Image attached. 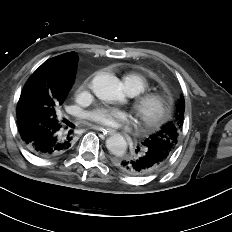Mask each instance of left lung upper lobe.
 Wrapping results in <instances>:
<instances>
[{
    "mask_svg": "<svg viewBox=\"0 0 232 232\" xmlns=\"http://www.w3.org/2000/svg\"><path fill=\"white\" fill-rule=\"evenodd\" d=\"M184 112L185 100L181 96L176 103L172 120L166 123L158 132L146 138L142 143L157 146L171 155L176 147L183 126Z\"/></svg>",
    "mask_w": 232,
    "mask_h": 232,
    "instance_id": "1",
    "label": "left lung upper lobe"
}]
</instances>
